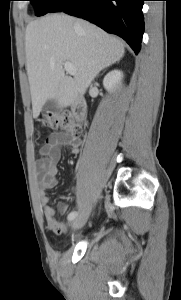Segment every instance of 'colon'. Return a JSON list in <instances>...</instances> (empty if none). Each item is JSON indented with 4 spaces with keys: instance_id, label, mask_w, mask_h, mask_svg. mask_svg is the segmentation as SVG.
Returning <instances> with one entry per match:
<instances>
[{
    "instance_id": "1",
    "label": "colon",
    "mask_w": 181,
    "mask_h": 300,
    "mask_svg": "<svg viewBox=\"0 0 181 300\" xmlns=\"http://www.w3.org/2000/svg\"><path fill=\"white\" fill-rule=\"evenodd\" d=\"M40 122L44 127L60 129L64 134L75 139L81 135L80 125L72 121L66 113H47L41 118Z\"/></svg>"
}]
</instances>
